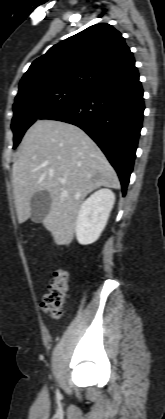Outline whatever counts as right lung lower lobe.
Returning <instances> with one entry per match:
<instances>
[{"mask_svg": "<svg viewBox=\"0 0 165 419\" xmlns=\"http://www.w3.org/2000/svg\"><path fill=\"white\" fill-rule=\"evenodd\" d=\"M144 108L138 70L132 66L122 75L41 119L63 121L83 129L115 168L125 195L136 157Z\"/></svg>", "mask_w": 165, "mask_h": 419, "instance_id": "98d812e1", "label": "right lung lower lobe"}]
</instances>
